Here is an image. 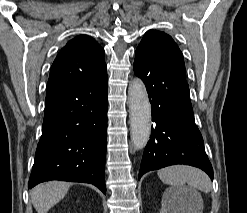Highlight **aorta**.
<instances>
[{
  "mask_svg": "<svg viewBox=\"0 0 247 213\" xmlns=\"http://www.w3.org/2000/svg\"><path fill=\"white\" fill-rule=\"evenodd\" d=\"M131 141L135 149L144 148L151 134V105L144 83L134 79L128 88Z\"/></svg>",
  "mask_w": 247,
  "mask_h": 213,
  "instance_id": "aorta-1",
  "label": "aorta"
}]
</instances>
